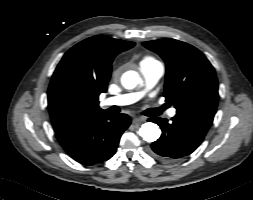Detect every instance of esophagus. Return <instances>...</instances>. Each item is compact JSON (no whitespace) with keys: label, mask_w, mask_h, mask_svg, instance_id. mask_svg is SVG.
<instances>
[{"label":"esophagus","mask_w":253,"mask_h":200,"mask_svg":"<svg viewBox=\"0 0 253 200\" xmlns=\"http://www.w3.org/2000/svg\"><path fill=\"white\" fill-rule=\"evenodd\" d=\"M144 119L143 118H139V117H134L133 120H132V123L133 124H139L141 122H143Z\"/></svg>","instance_id":"esophagus-1"}]
</instances>
